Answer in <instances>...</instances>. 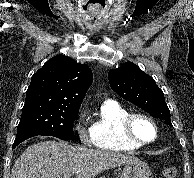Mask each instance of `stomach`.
<instances>
[{"mask_svg": "<svg viewBox=\"0 0 194 178\" xmlns=\"http://www.w3.org/2000/svg\"><path fill=\"white\" fill-rule=\"evenodd\" d=\"M150 176L148 164L142 161L126 164L121 173V178H151Z\"/></svg>", "mask_w": 194, "mask_h": 178, "instance_id": "stomach-1", "label": "stomach"}]
</instances>
